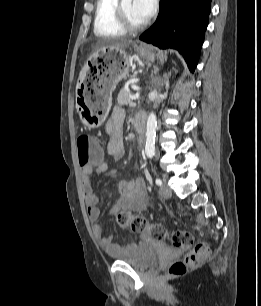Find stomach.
Instances as JSON below:
<instances>
[{
	"label": "stomach",
	"instance_id": "stomach-1",
	"mask_svg": "<svg viewBox=\"0 0 261 306\" xmlns=\"http://www.w3.org/2000/svg\"><path fill=\"white\" fill-rule=\"evenodd\" d=\"M137 55L149 62L158 58L156 52L144 46L137 47ZM130 61L123 49L99 50L90 57V64L100 71L95 79H80L76 93L80 119L86 127L96 128L104 122L112 105V93L118 82L127 77Z\"/></svg>",
	"mask_w": 261,
	"mask_h": 306
}]
</instances>
